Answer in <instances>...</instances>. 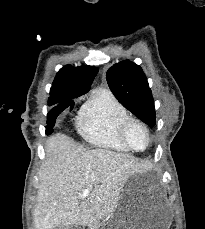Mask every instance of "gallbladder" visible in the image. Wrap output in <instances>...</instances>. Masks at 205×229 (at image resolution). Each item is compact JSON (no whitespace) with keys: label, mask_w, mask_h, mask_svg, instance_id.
I'll list each match as a JSON object with an SVG mask.
<instances>
[{"label":"gallbladder","mask_w":205,"mask_h":229,"mask_svg":"<svg viewBox=\"0 0 205 229\" xmlns=\"http://www.w3.org/2000/svg\"><path fill=\"white\" fill-rule=\"evenodd\" d=\"M56 229H69L67 226H59Z\"/></svg>","instance_id":"gallbladder-1"}]
</instances>
